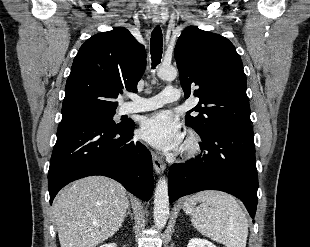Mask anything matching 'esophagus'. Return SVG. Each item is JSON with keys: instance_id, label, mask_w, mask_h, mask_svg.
Wrapping results in <instances>:
<instances>
[{"instance_id": "esophagus-1", "label": "esophagus", "mask_w": 310, "mask_h": 247, "mask_svg": "<svg viewBox=\"0 0 310 247\" xmlns=\"http://www.w3.org/2000/svg\"><path fill=\"white\" fill-rule=\"evenodd\" d=\"M160 15L155 13L152 17V20L155 24H158L160 22ZM153 159V167L157 174H161L165 170V163L161 159L160 156H158L156 153L152 154Z\"/></svg>"}]
</instances>
